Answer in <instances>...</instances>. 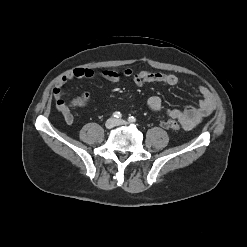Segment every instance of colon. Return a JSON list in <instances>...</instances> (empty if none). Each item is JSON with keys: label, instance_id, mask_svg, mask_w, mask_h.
<instances>
[{"label": "colon", "instance_id": "colon-1", "mask_svg": "<svg viewBox=\"0 0 247 247\" xmlns=\"http://www.w3.org/2000/svg\"><path fill=\"white\" fill-rule=\"evenodd\" d=\"M87 99H88V94L84 93L82 96H80L77 99V103L78 104H83V103H85L87 101ZM162 124L166 129L177 130V129L180 128V123L175 119L165 120V121H163Z\"/></svg>", "mask_w": 247, "mask_h": 247}]
</instances>
